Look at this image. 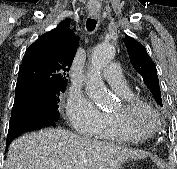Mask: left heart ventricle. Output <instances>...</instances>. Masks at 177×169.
Masks as SVG:
<instances>
[{"mask_svg": "<svg viewBox=\"0 0 177 169\" xmlns=\"http://www.w3.org/2000/svg\"><path fill=\"white\" fill-rule=\"evenodd\" d=\"M118 108H119V104L114 108L113 112L116 111ZM143 120H144L145 123H147V121H148L147 118H144Z\"/></svg>", "mask_w": 177, "mask_h": 169, "instance_id": "left-heart-ventricle-1", "label": "left heart ventricle"}]
</instances>
